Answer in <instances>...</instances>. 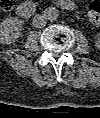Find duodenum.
<instances>
[{"label": "duodenum", "instance_id": "1", "mask_svg": "<svg viewBox=\"0 0 100 118\" xmlns=\"http://www.w3.org/2000/svg\"><path fill=\"white\" fill-rule=\"evenodd\" d=\"M57 5L63 9L71 10L73 9L74 3L71 0H58ZM37 10V6L34 2H22L16 7V12L21 17H31Z\"/></svg>", "mask_w": 100, "mask_h": 118}]
</instances>
